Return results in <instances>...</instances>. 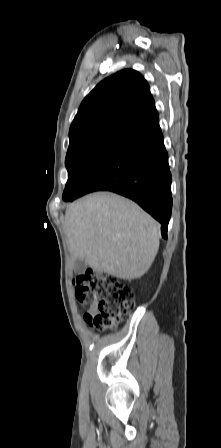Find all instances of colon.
<instances>
[{
    "instance_id": "5ec220e1",
    "label": "colon",
    "mask_w": 221,
    "mask_h": 448,
    "mask_svg": "<svg viewBox=\"0 0 221 448\" xmlns=\"http://www.w3.org/2000/svg\"><path fill=\"white\" fill-rule=\"evenodd\" d=\"M73 285L77 302L94 307L84 318L97 329L112 328L133 308L132 288L111 274L88 269L74 277Z\"/></svg>"
}]
</instances>
